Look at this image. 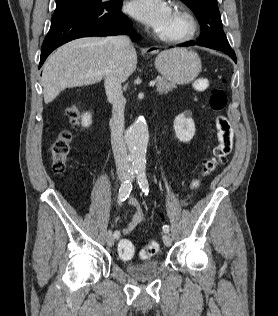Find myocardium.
Listing matches in <instances>:
<instances>
[{"instance_id": "1", "label": "myocardium", "mask_w": 278, "mask_h": 316, "mask_svg": "<svg viewBox=\"0 0 278 316\" xmlns=\"http://www.w3.org/2000/svg\"><path fill=\"white\" fill-rule=\"evenodd\" d=\"M171 11L177 15L183 22V29L177 33H164L161 31L155 32V37L166 43H184L194 38L198 24L194 15L187 7L182 4H175L172 6Z\"/></svg>"}]
</instances>
